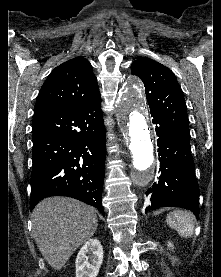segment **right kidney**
Masks as SVG:
<instances>
[{
  "mask_svg": "<svg viewBox=\"0 0 221 277\" xmlns=\"http://www.w3.org/2000/svg\"><path fill=\"white\" fill-rule=\"evenodd\" d=\"M103 262V248L99 240L90 239L76 257V277H97Z\"/></svg>",
  "mask_w": 221,
  "mask_h": 277,
  "instance_id": "obj_1",
  "label": "right kidney"
}]
</instances>
